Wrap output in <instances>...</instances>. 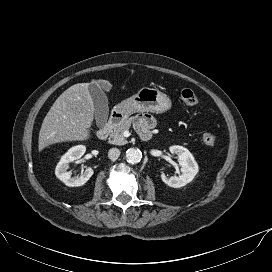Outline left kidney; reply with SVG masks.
<instances>
[{
    "label": "left kidney",
    "instance_id": "5707ae66",
    "mask_svg": "<svg viewBox=\"0 0 272 272\" xmlns=\"http://www.w3.org/2000/svg\"><path fill=\"white\" fill-rule=\"evenodd\" d=\"M172 154H176L181 166L182 174L177 177H167L161 174L162 181L170 187L180 188L191 182L199 171L198 164L190 151L182 146H171L169 148Z\"/></svg>",
    "mask_w": 272,
    "mask_h": 272
}]
</instances>
